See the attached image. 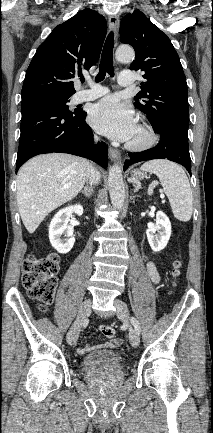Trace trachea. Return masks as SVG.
<instances>
[{
  "label": "trachea",
  "mask_w": 213,
  "mask_h": 433,
  "mask_svg": "<svg viewBox=\"0 0 213 433\" xmlns=\"http://www.w3.org/2000/svg\"><path fill=\"white\" fill-rule=\"evenodd\" d=\"M113 47L114 34L113 32H110L103 47L99 73L96 76L97 82L102 81L105 78L106 73H108L110 76H113ZM82 82H84V79H82Z\"/></svg>",
  "instance_id": "trachea-1"
}]
</instances>
